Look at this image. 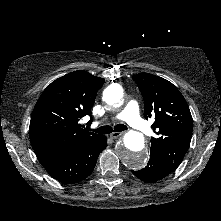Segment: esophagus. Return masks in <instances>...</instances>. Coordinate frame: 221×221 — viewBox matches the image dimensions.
I'll use <instances>...</instances> for the list:
<instances>
[{
	"mask_svg": "<svg viewBox=\"0 0 221 221\" xmlns=\"http://www.w3.org/2000/svg\"><path fill=\"white\" fill-rule=\"evenodd\" d=\"M122 135H123V132H112V133L110 134V137H111L112 139H117V138H120Z\"/></svg>",
	"mask_w": 221,
	"mask_h": 221,
	"instance_id": "34e87169",
	"label": "esophagus"
}]
</instances>
